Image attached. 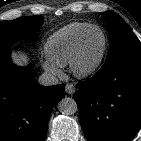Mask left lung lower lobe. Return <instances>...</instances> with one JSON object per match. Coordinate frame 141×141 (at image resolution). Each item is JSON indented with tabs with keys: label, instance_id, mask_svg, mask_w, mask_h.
Returning a JSON list of instances; mask_svg holds the SVG:
<instances>
[{
	"label": "left lung lower lobe",
	"instance_id": "obj_1",
	"mask_svg": "<svg viewBox=\"0 0 141 141\" xmlns=\"http://www.w3.org/2000/svg\"><path fill=\"white\" fill-rule=\"evenodd\" d=\"M74 99L89 141H131L141 128V56L105 63L77 84Z\"/></svg>",
	"mask_w": 141,
	"mask_h": 141
}]
</instances>
